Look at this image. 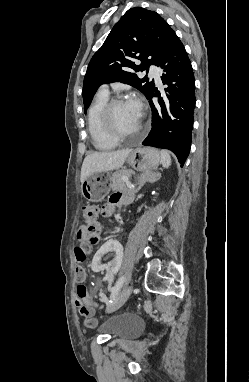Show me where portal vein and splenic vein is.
<instances>
[{"label": "portal vein and splenic vein", "mask_w": 249, "mask_h": 382, "mask_svg": "<svg viewBox=\"0 0 249 382\" xmlns=\"http://www.w3.org/2000/svg\"><path fill=\"white\" fill-rule=\"evenodd\" d=\"M122 180L126 183L127 187H129V188H134V187H135V185H133V184L130 182V180H129L128 177H123Z\"/></svg>", "instance_id": "portal-vein-and-splenic-vein-1"}]
</instances>
